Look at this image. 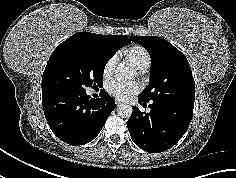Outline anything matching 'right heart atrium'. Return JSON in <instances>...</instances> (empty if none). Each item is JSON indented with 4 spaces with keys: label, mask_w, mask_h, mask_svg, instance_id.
<instances>
[{
    "label": "right heart atrium",
    "mask_w": 236,
    "mask_h": 178,
    "mask_svg": "<svg viewBox=\"0 0 236 178\" xmlns=\"http://www.w3.org/2000/svg\"><path fill=\"white\" fill-rule=\"evenodd\" d=\"M115 63L116 56H112L106 61L103 67V75L105 77H109L112 74Z\"/></svg>",
    "instance_id": "obj_1"
}]
</instances>
